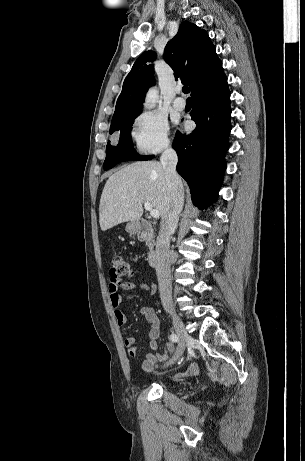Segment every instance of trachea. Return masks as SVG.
Returning <instances> with one entry per match:
<instances>
[{
  "mask_svg": "<svg viewBox=\"0 0 305 461\" xmlns=\"http://www.w3.org/2000/svg\"><path fill=\"white\" fill-rule=\"evenodd\" d=\"M182 91H183L184 94H188L190 90H189V88H188L187 86H184V87L182 88ZM189 99H190V98H189Z\"/></svg>",
  "mask_w": 305,
  "mask_h": 461,
  "instance_id": "obj_1",
  "label": "trachea"
}]
</instances>
